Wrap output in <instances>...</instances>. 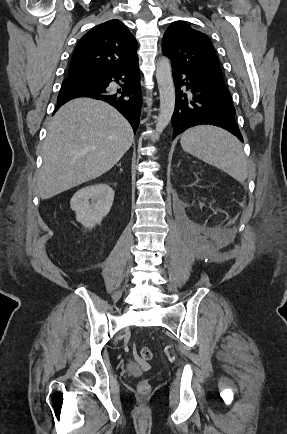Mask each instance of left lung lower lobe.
<instances>
[{"label": "left lung lower lobe", "instance_id": "left-lung-lower-lobe-1", "mask_svg": "<svg viewBox=\"0 0 287 434\" xmlns=\"http://www.w3.org/2000/svg\"><path fill=\"white\" fill-rule=\"evenodd\" d=\"M172 74L176 89L175 110L171 118L173 139L190 127L210 124L228 130L243 141L225 83L185 66L172 65ZM182 87H186L190 94L183 93Z\"/></svg>", "mask_w": 287, "mask_h": 434}]
</instances>
